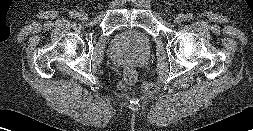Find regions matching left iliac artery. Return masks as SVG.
<instances>
[{"label": "left iliac artery", "mask_w": 253, "mask_h": 131, "mask_svg": "<svg viewBox=\"0 0 253 131\" xmlns=\"http://www.w3.org/2000/svg\"><path fill=\"white\" fill-rule=\"evenodd\" d=\"M185 19L188 20V21H191V20L193 19V14L187 13V14L185 15Z\"/></svg>", "instance_id": "obj_1"}]
</instances>
